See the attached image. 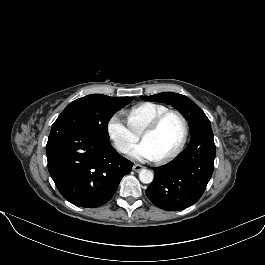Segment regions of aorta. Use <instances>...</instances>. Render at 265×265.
I'll return each instance as SVG.
<instances>
[{
  "label": "aorta",
  "instance_id": "762f6f07",
  "mask_svg": "<svg viewBox=\"0 0 265 265\" xmlns=\"http://www.w3.org/2000/svg\"><path fill=\"white\" fill-rule=\"evenodd\" d=\"M139 179L144 184H149L154 179V174L148 169H142L139 173Z\"/></svg>",
  "mask_w": 265,
  "mask_h": 265
}]
</instances>
